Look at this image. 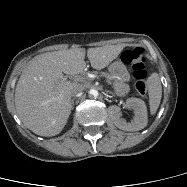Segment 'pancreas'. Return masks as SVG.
I'll return each mask as SVG.
<instances>
[{
    "label": "pancreas",
    "mask_w": 187,
    "mask_h": 187,
    "mask_svg": "<svg viewBox=\"0 0 187 187\" xmlns=\"http://www.w3.org/2000/svg\"><path fill=\"white\" fill-rule=\"evenodd\" d=\"M103 75L106 77V78H109V74L107 73H103ZM113 90L115 92L116 95L118 96H125L130 88H129V85L126 84V83H122V82H119V81H114L113 83Z\"/></svg>",
    "instance_id": "pancreas-1"
}]
</instances>
